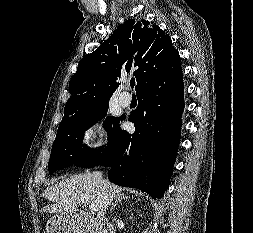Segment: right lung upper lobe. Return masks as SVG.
<instances>
[{
  "label": "right lung upper lobe",
  "mask_w": 253,
  "mask_h": 233,
  "mask_svg": "<svg viewBox=\"0 0 253 233\" xmlns=\"http://www.w3.org/2000/svg\"><path fill=\"white\" fill-rule=\"evenodd\" d=\"M181 59L171 38L149 21L126 20L94 52L79 62L69 83L64 117L109 101L119 79L133 72L136 93L150 80L170 72Z\"/></svg>",
  "instance_id": "cb5924a9"
}]
</instances>
